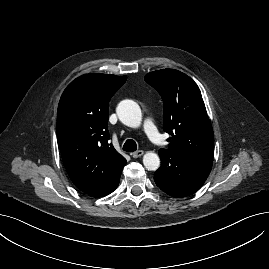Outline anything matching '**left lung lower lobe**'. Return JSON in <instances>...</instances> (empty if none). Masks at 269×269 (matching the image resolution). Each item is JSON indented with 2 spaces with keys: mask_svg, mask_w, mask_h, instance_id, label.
Listing matches in <instances>:
<instances>
[{
  "mask_svg": "<svg viewBox=\"0 0 269 269\" xmlns=\"http://www.w3.org/2000/svg\"><path fill=\"white\" fill-rule=\"evenodd\" d=\"M161 167L155 172L156 185L173 197H186L195 193L207 179L212 162L184 154L159 150Z\"/></svg>",
  "mask_w": 269,
  "mask_h": 269,
  "instance_id": "obj_1",
  "label": "left lung lower lobe"
}]
</instances>
